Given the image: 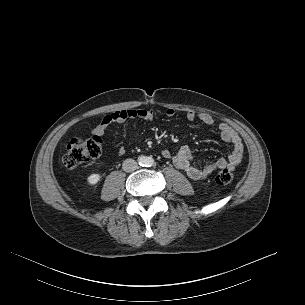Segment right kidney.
<instances>
[{"label":"right kidney","instance_id":"right-kidney-1","mask_svg":"<svg viewBox=\"0 0 305 305\" xmlns=\"http://www.w3.org/2000/svg\"><path fill=\"white\" fill-rule=\"evenodd\" d=\"M101 176L99 174L93 173L88 176L87 181L90 185H95L99 182Z\"/></svg>","mask_w":305,"mask_h":305}]
</instances>
